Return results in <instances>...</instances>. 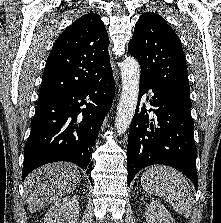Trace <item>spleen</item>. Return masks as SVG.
Returning <instances> with one entry per match:
<instances>
[{
    "label": "spleen",
    "instance_id": "3e777b00",
    "mask_svg": "<svg viewBox=\"0 0 221 223\" xmlns=\"http://www.w3.org/2000/svg\"><path fill=\"white\" fill-rule=\"evenodd\" d=\"M144 190L164 198L179 214L188 218L192 212V189L187 179L166 166H153L141 176Z\"/></svg>",
    "mask_w": 221,
    "mask_h": 223
}]
</instances>
